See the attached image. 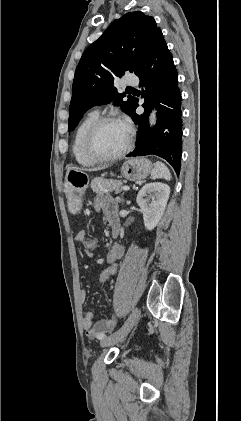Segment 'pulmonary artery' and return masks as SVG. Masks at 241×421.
I'll return each instance as SVG.
<instances>
[{"label": "pulmonary artery", "instance_id": "e3ab8cb5", "mask_svg": "<svg viewBox=\"0 0 241 421\" xmlns=\"http://www.w3.org/2000/svg\"><path fill=\"white\" fill-rule=\"evenodd\" d=\"M139 82L138 78L135 76L132 77H128L125 79L124 83L125 85H129V86H133V85H137Z\"/></svg>", "mask_w": 241, "mask_h": 421}]
</instances>
